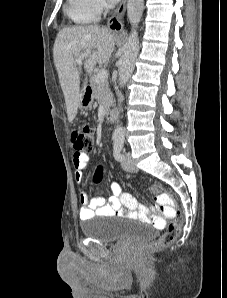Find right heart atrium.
I'll use <instances>...</instances> for the list:
<instances>
[{
  "label": "right heart atrium",
  "mask_w": 227,
  "mask_h": 298,
  "mask_svg": "<svg viewBox=\"0 0 227 298\" xmlns=\"http://www.w3.org/2000/svg\"><path fill=\"white\" fill-rule=\"evenodd\" d=\"M94 14H100L106 6L105 0H81Z\"/></svg>",
  "instance_id": "1"
}]
</instances>
